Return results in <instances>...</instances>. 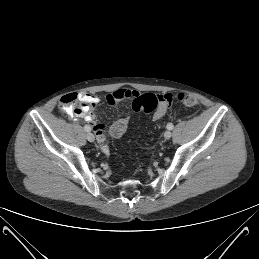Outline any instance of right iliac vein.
<instances>
[{
  "label": "right iliac vein",
  "instance_id": "right-iliac-vein-1",
  "mask_svg": "<svg viewBox=\"0 0 259 259\" xmlns=\"http://www.w3.org/2000/svg\"><path fill=\"white\" fill-rule=\"evenodd\" d=\"M87 139H88V141H90V142H94V140H95L94 134L91 133V132H88V133H87Z\"/></svg>",
  "mask_w": 259,
  "mask_h": 259
}]
</instances>
